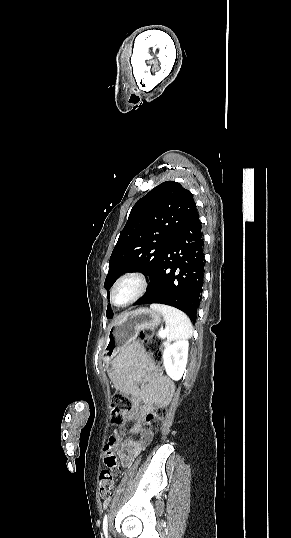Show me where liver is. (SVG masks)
Segmentation results:
<instances>
[{"label":"liver","instance_id":"liver-1","mask_svg":"<svg viewBox=\"0 0 291 538\" xmlns=\"http://www.w3.org/2000/svg\"><path fill=\"white\" fill-rule=\"evenodd\" d=\"M122 316H123V315H121V316H118V317H117V318L115 319V321H114V322H112V323L110 324L109 328H111L112 326H114V325H115V323H116V322H117V321H118V320H119V319H120V318H121Z\"/></svg>","mask_w":291,"mask_h":538}]
</instances>
